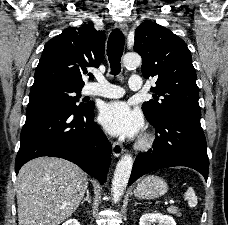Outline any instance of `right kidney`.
I'll list each match as a JSON object with an SVG mask.
<instances>
[{
	"label": "right kidney",
	"mask_w": 228,
	"mask_h": 225,
	"mask_svg": "<svg viewBox=\"0 0 228 225\" xmlns=\"http://www.w3.org/2000/svg\"><path fill=\"white\" fill-rule=\"evenodd\" d=\"M63 225H79V223L76 221V219H69V221H65Z\"/></svg>",
	"instance_id": "obj_1"
}]
</instances>
